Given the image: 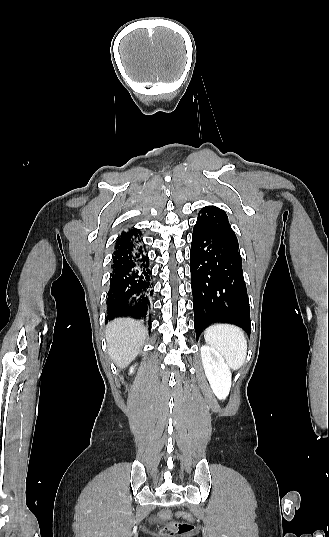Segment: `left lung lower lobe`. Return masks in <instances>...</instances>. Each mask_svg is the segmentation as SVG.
Masks as SVG:
<instances>
[{
  "instance_id": "1",
  "label": "left lung lower lobe",
  "mask_w": 329,
  "mask_h": 537,
  "mask_svg": "<svg viewBox=\"0 0 329 537\" xmlns=\"http://www.w3.org/2000/svg\"><path fill=\"white\" fill-rule=\"evenodd\" d=\"M190 262L196 338L214 323L235 324L250 335V307L239 245L196 222Z\"/></svg>"
}]
</instances>
